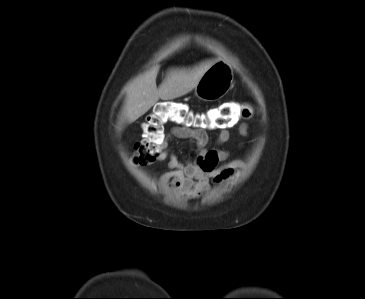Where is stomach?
Segmentation results:
<instances>
[{"instance_id": "1", "label": "stomach", "mask_w": 365, "mask_h": 299, "mask_svg": "<svg viewBox=\"0 0 365 299\" xmlns=\"http://www.w3.org/2000/svg\"><path fill=\"white\" fill-rule=\"evenodd\" d=\"M233 79L231 66L217 61L200 78L195 87V96L203 101L218 100L233 87Z\"/></svg>"}]
</instances>
